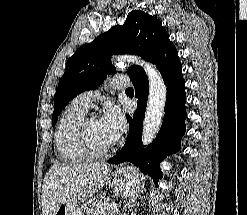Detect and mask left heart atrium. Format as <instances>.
Returning <instances> with one entry per match:
<instances>
[{"mask_svg": "<svg viewBox=\"0 0 247 215\" xmlns=\"http://www.w3.org/2000/svg\"><path fill=\"white\" fill-rule=\"evenodd\" d=\"M100 125L112 143L117 141L126 129L122 112L116 107H109L100 119Z\"/></svg>", "mask_w": 247, "mask_h": 215, "instance_id": "obj_1", "label": "left heart atrium"}]
</instances>
